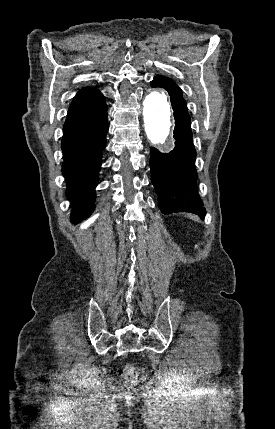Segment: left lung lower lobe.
Instances as JSON below:
<instances>
[{
	"mask_svg": "<svg viewBox=\"0 0 275 429\" xmlns=\"http://www.w3.org/2000/svg\"><path fill=\"white\" fill-rule=\"evenodd\" d=\"M152 87L168 90L174 111L175 148L168 154L150 149L151 181L158 195L159 208L168 212L206 214L196 186V150L193 145L191 121L181 89L170 78L155 76Z\"/></svg>",
	"mask_w": 275,
	"mask_h": 429,
	"instance_id": "obj_1",
	"label": "left lung lower lobe"
}]
</instances>
